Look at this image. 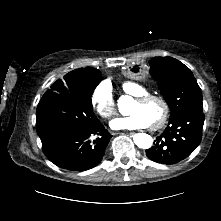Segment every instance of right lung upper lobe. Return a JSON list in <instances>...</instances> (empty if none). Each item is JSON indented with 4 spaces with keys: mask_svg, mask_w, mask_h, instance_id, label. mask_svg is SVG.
Wrapping results in <instances>:
<instances>
[{
    "mask_svg": "<svg viewBox=\"0 0 221 221\" xmlns=\"http://www.w3.org/2000/svg\"><path fill=\"white\" fill-rule=\"evenodd\" d=\"M96 72H99L97 69L92 68V67H86V68H81V69H76L64 76V82L68 83L71 82L72 80L82 78L85 76H89L92 74H95Z\"/></svg>",
    "mask_w": 221,
    "mask_h": 221,
    "instance_id": "obj_1",
    "label": "right lung upper lobe"
}]
</instances>
